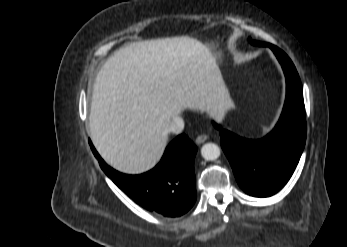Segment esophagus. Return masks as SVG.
Wrapping results in <instances>:
<instances>
[{
  "instance_id": "obj_1",
  "label": "esophagus",
  "mask_w": 347,
  "mask_h": 247,
  "mask_svg": "<svg viewBox=\"0 0 347 247\" xmlns=\"http://www.w3.org/2000/svg\"><path fill=\"white\" fill-rule=\"evenodd\" d=\"M208 139V136L205 134H201L196 138V143L197 144H202Z\"/></svg>"
}]
</instances>
